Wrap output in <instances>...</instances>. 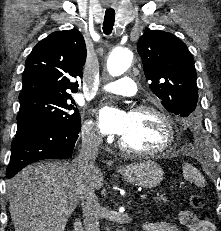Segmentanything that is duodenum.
I'll return each instance as SVG.
<instances>
[{"label": "duodenum", "mask_w": 221, "mask_h": 231, "mask_svg": "<svg viewBox=\"0 0 221 231\" xmlns=\"http://www.w3.org/2000/svg\"><path fill=\"white\" fill-rule=\"evenodd\" d=\"M74 231H83L82 224L80 220L75 221Z\"/></svg>", "instance_id": "410a0bca"}]
</instances>
